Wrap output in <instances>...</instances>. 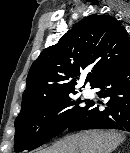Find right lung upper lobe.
<instances>
[{
  "label": "right lung upper lobe",
  "mask_w": 130,
  "mask_h": 153,
  "mask_svg": "<svg viewBox=\"0 0 130 153\" xmlns=\"http://www.w3.org/2000/svg\"><path fill=\"white\" fill-rule=\"evenodd\" d=\"M129 60L130 39L119 21L109 15H90L33 62L19 115L76 93L77 81L87 70L85 84L93 88L102 76Z\"/></svg>",
  "instance_id": "obj_1"
}]
</instances>
